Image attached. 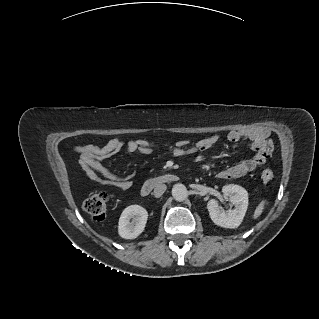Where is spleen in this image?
Instances as JSON below:
<instances>
[{
	"label": "spleen",
	"instance_id": "spleen-1",
	"mask_svg": "<svg viewBox=\"0 0 319 319\" xmlns=\"http://www.w3.org/2000/svg\"><path fill=\"white\" fill-rule=\"evenodd\" d=\"M265 204H266V201L265 200H262L258 206L256 207L255 211H254V214H253V218L254 219H257L263 212L264 208H265Z\"/></svg>",
	"mask_w": 319,
	"mask_h": 319
}]
</instances>
